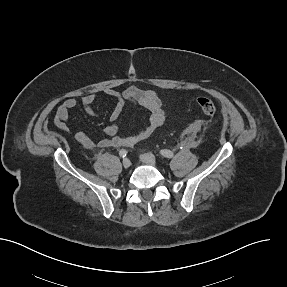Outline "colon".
Here are the masks:
<instances>
[{
	"instance_id": "5ec220e1",
	"label": "colon",
	"mask_w": 287,
	"mask_h": 287,
	"mask_svg": "<svg viewBox=\"0 0 287 287\" xmlns=\"http://www.w3.org/2000/svg\"><path fill=\"white\" fill-rule=\"evenodd\" d=\"M200 110L208 116H212L216 112V106L213 101L207 97H200L197 100Z\"/></svg>"
}]
</instances>
